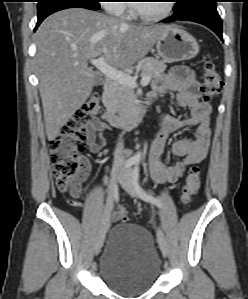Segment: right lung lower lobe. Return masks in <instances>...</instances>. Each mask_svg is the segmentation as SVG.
Listing matches in <instances>:
<instances>
[{"mask_svg": "<svg viewBox=\"0 0 248 299\" xmlns=\"http://www.w3.org/2000/svg\"><path fill=\"white\" fill-rule=\"evenodd\" d=\"M73 7H81V8H86L90 10H98L99 8H94L92 6L85 5L80 2H73V1H59L55 2L41 10L38 11V22L35 27V30L37 27L40 25V23L50 14L57 12L59 10L67 9V8H73Z\"/></svg>", "mask_w": 248, "mask_h": 299, "instance_id": "1", "label": "right lung lower lobe"}]
</instances>
